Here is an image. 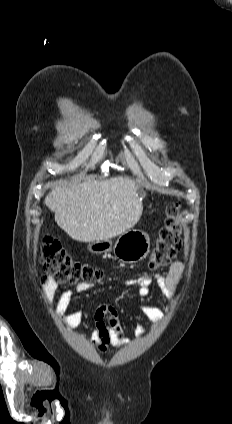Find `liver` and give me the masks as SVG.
<instances>
[{
  "label": "liver",
  "instance_id": "liver-1",
  "mask_svg": "<svg viewBox=\"0 0 232 424\" xmlns=\"http://www.w3.org/2000/svg\"><path fill=\"white\" fill-rule=\"evenodd\" d=\"M139 187L132 179H88L70 187L57 186L45 197L55 221L80 242L109 240L132 228L143 211Z\"/></svg>",
  "mask_w": 232,
  "mask_h": 424
}]
</instances>
